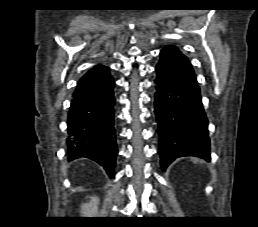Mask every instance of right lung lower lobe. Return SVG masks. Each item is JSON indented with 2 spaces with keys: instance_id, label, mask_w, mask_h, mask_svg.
<instances>
[{
  "instance_id": "1",
  "label": "right lung lower lobe",
  "mask_w": 258,
  "mask_h": 227,
  "mask_svg": "<svg viewBox=\"0 0 258 227\" xmlns=\"http://www.w3.org/2000/svg\"><path fill=\"white\" fill-rule=\"evenodd\" d=\"M113 87L108 67H93L78 81L67 119L69 160L92 159L111 177L117 156Z\"/></svg>"
}]
</instances>
